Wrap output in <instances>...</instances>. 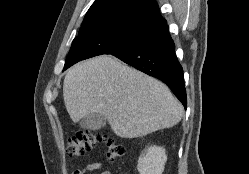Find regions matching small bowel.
<instances>
[{
  "label": "small bowel",
  "mask_w": 249,
  "mask_h": 174,
  "mask_svg": "<svg viewBox=\"0 0 249 174\" xmlns=\"http://www.w3.org/2000/svg\"><path fill=\"white\" fill-rule=\"evenodd\" d=\"M102 169V163L95 161L87 164L85 167L76 169L72 172V174H86L88 172L100 171ZM100 174H112L109 170H101Z\"/></svg>",
  "instance_id": "obj_1"
}]
</instances>
